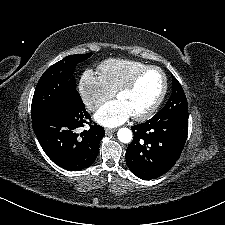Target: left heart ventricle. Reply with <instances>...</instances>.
I'll list each match as a JSON object with an SVG mask.
<instances>
[{
  "instance_id": "1",
  "label": "left heart ventricle",
  "mask_w": 225,
  "mask_h": 225,
  "mask_svg": "<svg viewBox=\"0 0 225 225\" xmlns=\"http://www.w3.org/2000/svg\"><path fill=\"white\" fill-rule=\"evenodd\" d=\"M162 87V77L159 72L150 70L145 72L138 80L134 88L121 94L117 99L130 112L131 116L139 115L147 111Z\"/></svg>"
}]
</instances>
